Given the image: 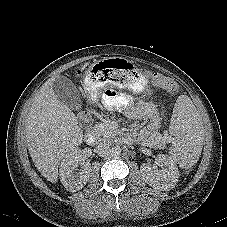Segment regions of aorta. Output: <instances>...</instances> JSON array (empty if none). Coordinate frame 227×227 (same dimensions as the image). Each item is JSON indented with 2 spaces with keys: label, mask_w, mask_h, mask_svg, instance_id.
Here are the masks:
<instances>
[{
  "label": "aorta",
  "mask_w": 227,
  "mask_h": 227,
  "mask_svg": "<svg viewBox=\"0 0 227 227\" xmlns=\"http://www.w3.org/2000/svg\"><path fill=\"white\" fill-rule=\"evenodd\" d=\"M110 153L112 156H119L121 154L120 146H113Z\"/></svg>",
  "instance_id": "aorta-1"
}]
</instances>
